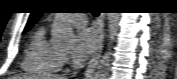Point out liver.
Returning a JSON list of instances; mask_svg holds the SVG:
<instances>
[{
  "instance_id": "obj_1",
  "label": "liver",
  "mask_w": 177,
  "mask_h": 79,
  "mask_svg": "<svg viewBox=\"0 0 177 79\" xmlns=\"http://www.w3.org/2000/svg\"><path fill=\"white\" fill-rule=\"evenodd\" d=\"M13 79H63L59 76H32V75H19L14 76Z\"/></svg>"
}]
</instances>
